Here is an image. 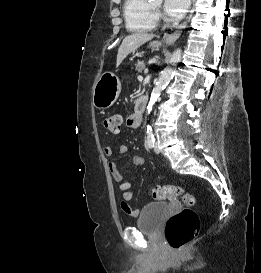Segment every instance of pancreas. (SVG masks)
Segmentation results:
<instances>
[{"label":"pancreas","mask_w":261,"mask_h":273,"mask_svg":"<svg viewBox=\"0 0 261 273\" xmlns=\"http://www.w3.org/2000/svg\"><path fill=\"white\" fill-rule=\"evenodd\" d=\"M145 68V63L144 61H138L135 65V69L136 71H138L139 73L142 72V70H144Z\"/></svg>","instance_id":"1"}]
</instances>
